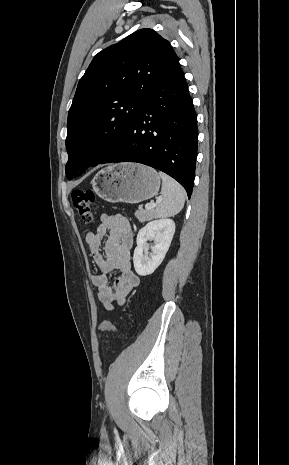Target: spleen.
<instances>
[{
  "label": "spleen",
  "mask_w": 289,
  "mask_h": 465,
  "mask_svg": "<svg viewBox=\"0 0 289 465\" xmlns=\"http://www.w3.org/2000/svg\"><path fill=\"white\" fill-rule=\"evenodd\" d=\"M162 179V198L154 211L157 218H165L178 214L185 203L186 192L184 188L173 178L163 172H159Z\"/></svg>",
  "instance_id": "spleen-1"
}]
</instances>
